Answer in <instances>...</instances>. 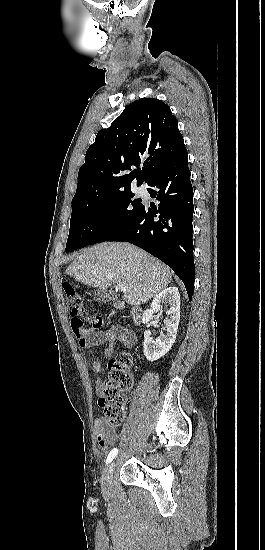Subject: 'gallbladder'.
I'll use <instances>...</instances> for the list:
<instances>
[{"instance_id":"obj_1","label":"gallbladder","mask_w":265,"mask_h":550,"mask_svg":"<svg viewBox=\"0 0 265 550\" xmlns=\"http://www.w3.org/2000/svg\"><path fill=\"white\" fill-rule=\"evenodd\" d=\"M94 298L99 303L114 302L117 300V295L107 289H97L93 293Z\"/></svg>"}]
</instances>
